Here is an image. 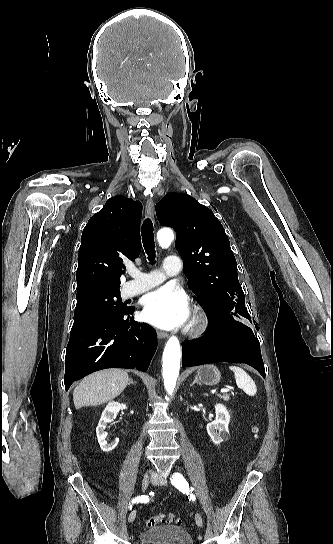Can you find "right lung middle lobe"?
Segmentation results:
<instances>
[{
  "instance_id": "1",
  "label": "right lung middle lobe",
  "mask_w": 333,
  "mask_h": 544,
  "mask_svg": "<svg viewBox=\"0 0 333 544\" xmlns=\"http://www.w3.org/2000/svg\"><path fill=\"white\" fill-rule=\"evenodd\" d=\"M120 290L106 291L77 299L70 335L80 333L105 319L127 311Z\"/></svg>"
}]
</instances>
